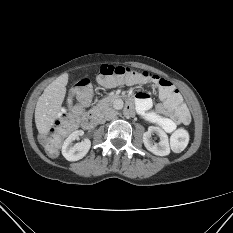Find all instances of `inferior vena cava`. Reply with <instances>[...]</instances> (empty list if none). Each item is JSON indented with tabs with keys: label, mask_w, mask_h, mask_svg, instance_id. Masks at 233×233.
<instances>
[{
	"label": "inferior vena cava",
	"mask_w": 233,
	"mask_h": 233,
	"mask_svg": "<svg viewBox=\"0 0 233 233\" xmlns=\"http://www.w3.org/2000/svg\"><path fill=\"white\" fill-rule=\"evenodd\" d=\"M116 111L112 108H109L104 115L105 120H112L116 117Z\"/></svg>",
	"instance_id": "1"
}]
</instances>
